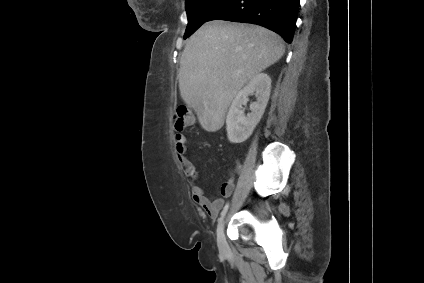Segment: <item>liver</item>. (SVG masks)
<instances>
[{"instance_id": "1", "label": "liver", "mask_w": 424, "mask_h": 283, "mask_svg": "<svg viewBox=\"0 0 424 283\" xmlns=\"http://www.w3.org/2000/svg\"><path fill=\"white\" fill-rule=\"evenodd\" d=\"M285 46L260 25L215 20L188 39L180 59L179 90L201 127L215 132L241 88L276 63Z\"/></svg>"}]
</instances>
